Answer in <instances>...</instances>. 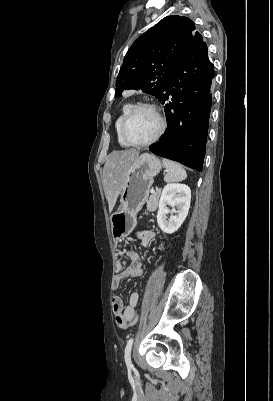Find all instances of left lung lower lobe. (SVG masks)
I'll use <instances>...</instances> for the list:
<instances>
[{
    "instance_id": "0a47b994",
    "label": "left lung lower lobe",
    "mask_w": 273,
    "mask_h": 401,
    "mask_svg": "<svg viewBox=\"0 0 273 401\" xmlns=\"http://www.w3.org/2000/svg\"><path fill=\"white\" fill-rule=\"evenodd\" d=\"M213 78L214 66L201 37L179 61L158 97L165 108L167 130L160 141L149 148L151 152L202 171Z\"/></svg>"
}]
</instances>
